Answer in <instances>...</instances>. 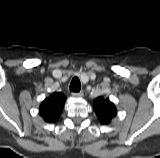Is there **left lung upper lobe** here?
Returning <instances> with one entry per match:
<instances>
[{
    "mask_svg": "<svg viewBox=\"0 0 160 158\" xmlns=\"http://www.w3.org/2000/svg\"><path fill=\"white\" fill-rule=\"evenodd\" d=\"M94 110L102 124H109L117 114L115 105L108 98L98 97L94 101Z\"/></svg>",
    "mask_w": 160,
    "mask_h": 158,
    "instance_id": "obj_1",
    "label": "left lung upper lobe"
}]
</instances>
